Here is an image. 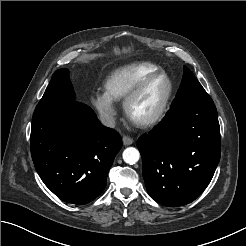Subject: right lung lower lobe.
<instances>
[{"mask_svg": "<svg viewBox=\"0 0 246 246\" xmlns=\"http://www.w3.org/2000/svg\"><path fill=\"white\" fill-rule=\"evenodd\" d=\"M31 155L45 185L61 200L86 204L98 197L122 147L119 134L74 101L58 113L32 118Z\"/></svg>", "mask_w": 246, "mask_h": 246, "instance_id": "right-lung-lower-lobe-1", "label": "right lung lower lobe"}]
</instances>
